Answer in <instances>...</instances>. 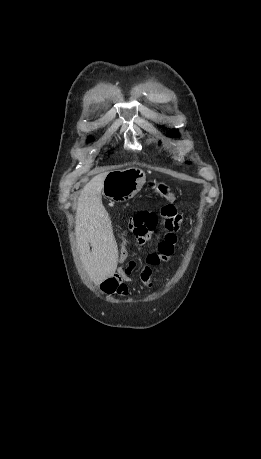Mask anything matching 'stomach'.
<instances>
[{
  "mask_svg": "<svg viewBox=\"0 0 261 459\" xmlns=\"http://www.w3.org/2000/svg\"><path fill=\"white\" fill-rule=\"evenodd\" d=\"M145 182L146 175L138 168L114 170L106 176L102 193L111 200L124 202L133 198Z\"/></svg>",
  "mask_w": 261,
  "mask_h": 459,
  "instance_id": "obj_1",
  "label": "stomach"
}]
</instances>
